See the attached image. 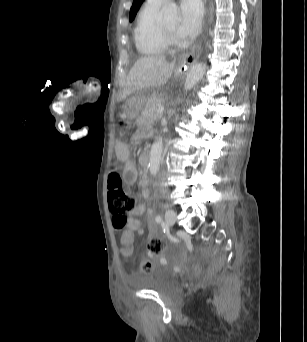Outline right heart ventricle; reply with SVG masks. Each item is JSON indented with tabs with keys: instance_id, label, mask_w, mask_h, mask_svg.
Masks as SVG:
<instances>
[{
	"instance_id": "right-heart-ventricle-1",
	"label": "right heart ventricle",
	"mask_w": 307,
	"mask_h": 342,
	"mask_svg": "<svg viewBox=\"0 0 307 342\" xmlns=\"http://www.w3.org/2000/svg\"><path fill=\"white\" fill-rule=\"evenodd\" d=\"M157 11L143 9L139 12L133 31L134 47L143 58H153L163 54L156 39Z\"/></svg>"
}]
</instances>
